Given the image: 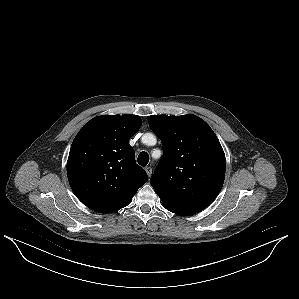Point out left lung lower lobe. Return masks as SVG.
Wrapping results in <instances>:
<instances>
[{
    "label": "left lung lower lobe",
    "mask_w": 299,
    "mask_h": 299,
    "mask_svg": "<svg viewBox=\"0 0 299 299\" xmlns=\"http://www.w3.org/2000/svg\"><path fill=\"white\" fill-rule=\"evenodd\" d=\"M165 208L167 210H169V211H171L173 213L179 214V215H192V214L196 213V212H193V211L174 210V209H171V208H168V207H165Z\"/></svg>",
    "instance_id": "0a47b994"
}]
</instances>
